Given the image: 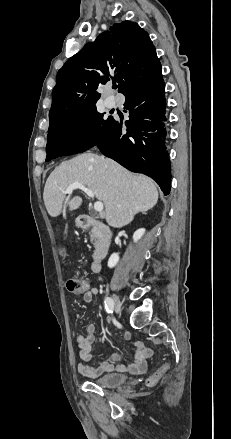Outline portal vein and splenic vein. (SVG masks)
Here are the masks:
<instances>
[{"label": "portal vein and splenic vein", "instance_id": "18ae733b", "mask_svg": "<svg viewBox=\"0 0 231 439\" xmlns=\"http://www.w3.org/2000/svg\"><path fill=\"white\" fill-rule=\"evenodd\" d=\"M80 189L84 191L89 197L94 198L95 194L92 190L88 189L81 183H73L68 188H66V193L72 194L73 190ZM104 205L101 201H96L94 203V210L99 213H103Z\"/></svg>", "mask_w": 231, "mask_h": 439}]
</instances>
